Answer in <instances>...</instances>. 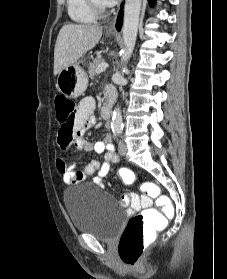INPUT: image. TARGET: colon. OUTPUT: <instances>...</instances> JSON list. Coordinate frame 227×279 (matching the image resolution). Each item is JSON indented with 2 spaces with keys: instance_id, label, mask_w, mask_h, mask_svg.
<instances>
[{
  "instance_id": "obj_1",
  "label": "colon",
  "mask_w": 227,
  "mask_h": 279,
  "mask_svg": "<svg viewBox=\"0 0 227 279\" xmlns=\"http://www.w3.org/2000/svg\"><path fill=\"white\" fill-rule=\"evenodd\" d=\"M56 118L61 124L59 135L61 138H70L78 129L75 122V103L66 96H57L55 99ZM119 177L124 183L137 182L148 191V195L155 198L156 203L166 202L167 196L162 194L158 185L138 178L130 169H122ZM147 197L146 195L141 198ZM172 215L162 209H144L133 216L127 223L119 243V256L129 265H134L143 252V243L146 238L154 236L156 231L162 229L165 221L170 220Z\"/></svg>"
}]
</instances>
